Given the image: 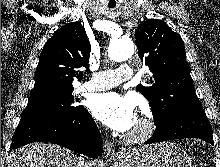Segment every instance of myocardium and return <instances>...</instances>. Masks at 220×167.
I'll use <instances>...</instances> for the list:
<instances>
[{
    "mask_svg": "<svg viewBox=\"0 0 220 167\" xmlns=\"http://www.w3.org/2000/svg\"><path fill=\"white\" fill-rule=\"evenodd\" d=\"M137 127L125 136L129 143H140L148 140L155 132L157 124L151 112L142 113L138 117Z\"/></svg>",
    "mask_w": 220,
    "mask_h": 167,
    "instance_id": "1",
    "label": "myocardium"
}]
</instances>
